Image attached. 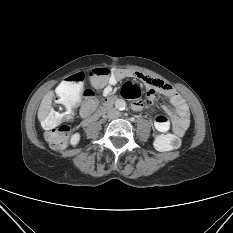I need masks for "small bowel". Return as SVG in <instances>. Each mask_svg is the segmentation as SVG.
Returning <instances> with one entry per match:
<instances>
[{"mask_svg":"<svg viewBox=\"0 0 233 233\" xmlns=\"http://www.w3.org/2000/svg\"><path fill=\"white\" fill-rule=\"evenodd\" d=\"M128 78L142 83L149 90L148 99L146 102H143L140 97L139 86L132 83V90L127 97L132 101L131 106L133 110L137 112L147 111L152 106L157 94L168 97L173 108L164 106L163 109L170 117V120L164 115H158L154 120V127L161 133H166L172 129L174 134L182 136L189 125V110L182 96L169 83L141 72L118 68L112 71L108 81L102 87L103 95L109 97L113 87L118 82ZM94 108L95 105H89L84 102L80 107L79 114L83 119L88 120L92 116Z\"/></svg>","mask_w":233,"mask_h":233,"instance_id":"1","label":"small bowel"}]
</instances>
